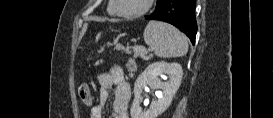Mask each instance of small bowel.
<instances>
[{
  "label": "small bowel",
  "mask_w": 273,
  "mask_h": 118,
  "mask_svg": "<svg viewBox=\"0 0 273 118\" xmlns=\"http://www.w3.org/2000/svg\"><path fill=\"white\" fill-rule=\"evenodd\" d=\"M99 103L93 104L92 96L88 102H82L91 106L90 117L102 118L105 104L109 100L110 91L114 90L113 118H129V103L131 100V88L118 67H112L108 72L98 73Z\"/></svg>",
  "instance_id": "1"
}]
</instances>
